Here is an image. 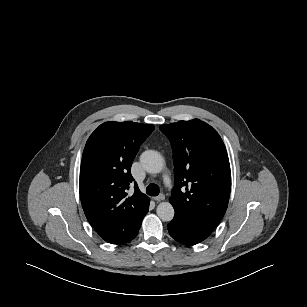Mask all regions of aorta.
<instances>
[{"mask_svg":"<svg viewBox=\"0 0 307 307\" xmlns=\"http://www.w3.org/2000/svg\"><path fill=\"white\" fill-rule=\"evenodd\" d=\"M142 167L152 174L160 173L164 168V159L154 150L144 151L140 156ZM158 217L162 221H171L174 218V208L169 202H161L156 209Z\"/></svg>","mask_w":307,"mask_h":307,"instance_id":"obj_1","label":"aorta"}]
</instances>
